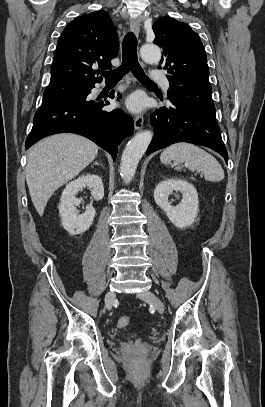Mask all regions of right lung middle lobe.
Segmentation results:
<instances>
[{"instance_id":"1","label":"right lung middle lobe","mask_w":265,"mask_h":407,"mask_svg":"<svg viewBox=\"0 0 265 407\" xmlns=\"http://www.w3.org/2000/svg\"><path fill=\"white\" fill-rule=\"evenodd\" d=\"M84 84L77 83H53L45 89L42 106L71 100L78 96L85 88Z\"/></svg>"}]
</instances>
